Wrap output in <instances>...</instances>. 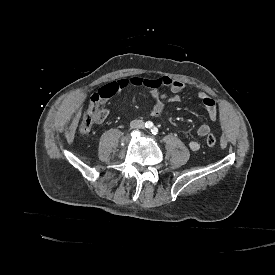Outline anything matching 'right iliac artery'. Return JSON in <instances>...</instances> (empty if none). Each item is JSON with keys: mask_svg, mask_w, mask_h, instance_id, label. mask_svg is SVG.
Here are the masks:
<instances>
[{"mask_svg": "<svg viewBox=\"0 0 275 275\" xmlns=\"http://www.w3.org/2000/svg\"><path fill=\"white\" fill-rule=\"evenodd\" d=\"M145 127H146V128H152V127H153V123H152L151 121H147V122L145 123Z\"/></svg>", "mask_w": 275, "mask_h": 275, "instance_id": "right-iliac-artery-1", "label": "right iliac artery"}]
</instances>
